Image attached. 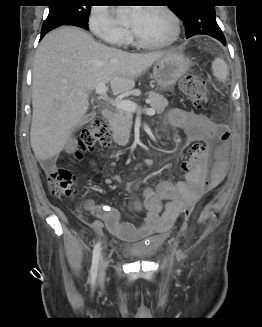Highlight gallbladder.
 Here are the masks:
<instances>
[{
	"label": "gallbladder",
	"mask_w": 262,
	"mask_h": 327,
	"mask_svg": "<svg viewBox=\"0 0 262 327\" xmlns=\"http://www.w3.org/2000/svg\"><path fill=\"white\" fill-rule=\"evenodd\" d=\"M93 114H85L81 119L80 121L78 122L77 126H82L84 125L85 123L89 122L92 118Z\"/></svg>",
	"instance_id": "bac80fb5"
}]
</instances>
